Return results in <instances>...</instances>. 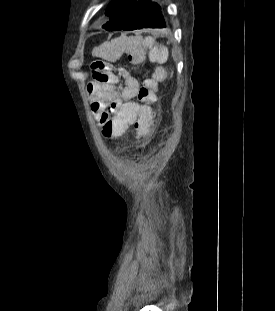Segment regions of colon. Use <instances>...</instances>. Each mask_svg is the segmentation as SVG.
I'll return each mask as SVG.
<instances>
[{"instance_id":"colon-1","label":"colon","mask_w":275,"mask_h":311,"mask_svg":"<svg viewBox=\"0 0 275 311\" xmlns=\"http://www.w3.org/2000/svg\"><path fill=\"white\" fill-rule=\"evenodd\" d=\"M92 75L96 81L103 82L111 75V65L105 61H95L91 65ZM157 97V85L149 78L142 81L138 88V98L141 101L154 102ZM102 134L106 139L120 136L119 130H129V118L102 119ZM137 135V133H136Z\"/></svg>"}]
</instances>
